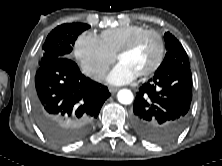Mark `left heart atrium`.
<instances>
[{"label": "left heart atrium", "instance_id": "obj_1", "mask_svg": "<svg viewBox=\"0 0 222 166\" xmlns=\"http://www.w3.org/2000/svg\"><path fill=\"white\" fill-rule=\"evenodd\" d=\"M137 74L125 63L119 62L107 75V82L112 85L126 84L135 79Z\"/></svg>", "mask_w": 222, "mask_h": 166}]
</instances>
